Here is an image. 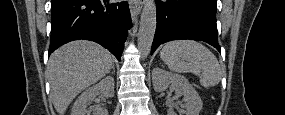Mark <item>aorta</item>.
Listing matches in <instances>:
<instances>
[{
	"label": "aorta",
	"instance_id": "1",
	"mask_svg": "<svg viewBox=\"0 0 285 115\" xmlns=\"http://www.w3.org/2000/svg\"><path fill=\"white\" fill-rule=\"evenodd\" d=\"M156 24L155 2L153 0H145L138 32V49L144 58L150 53L156 30Z\"/></svg>",
	"mask_w": 285,
	"mask_h": 115
}]
</instances>
